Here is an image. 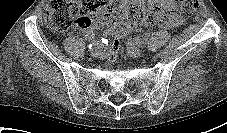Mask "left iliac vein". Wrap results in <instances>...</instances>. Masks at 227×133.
<instances>
[{
  "label": "left iliac vein",
  "instance_id": "1",
  "mask_svg": "<svg viewBox=\"0 0 227 133\" xmlns=\"http://www.w3.org/2000/svg\"><path fill=\"white\" fill-rule=\"evenodd\" d=\"M127 52L133 58H139L142 55V51L138 47H135L133 45L127 46Z\"/></svg>",
  "mask_w": 227,
  "mask_h": 133
}]
</instances>
